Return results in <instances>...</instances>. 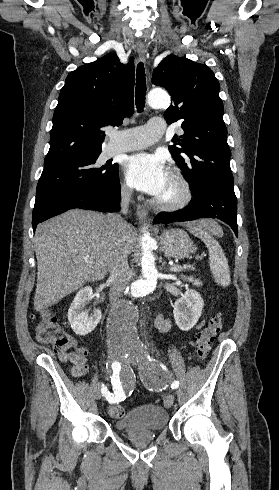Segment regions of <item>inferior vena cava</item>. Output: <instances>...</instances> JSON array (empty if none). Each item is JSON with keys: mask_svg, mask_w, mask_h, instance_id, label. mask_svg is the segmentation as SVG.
Masks as SVG:
<instances>
[{"mask_svg": "<svg viewBox=\"0 0 279 490\" xmlns=\"http://www.w3.org/2000/svg\"><path fill=\"white\" fill-rule=\"evenodd\" d=\"M131 190L129 188H122L121 190V212L120 214H109L108 224L109 226H116L121 234L124 242L127 240L130 232H127V222L123 220L121 214H128L129 202L131 198ZM121 254V256H119ZM114 262L111 264L109 270L110 276L108 282L110 284L109 300H110V312H114L115 308H118L120 298L124 294L125 288H127L131 276L130 268L128 266V256L119 250Z\"/></svg>", "mask_w": 279, "mask_h": 490, "instance_id": "inferior-vena-cava-1", "label": "inferior vena cava"}]
</instances>
